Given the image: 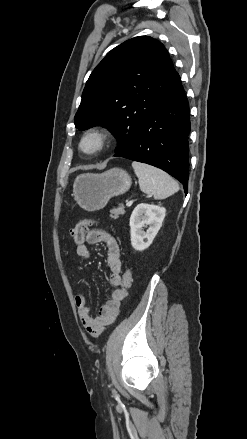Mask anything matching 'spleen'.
<instances>
[{"instance_id": "3e777b00", "label": "spleen", "mask_w": 247, "mask_h": 439, "mask_svg": "<svg viewBox=\"0 0 247 439\" xmlns=\"http://www.w3.org/2000/svg\"><path fill=\"white\" fill-rule=\"evenodd\" d=\"M132 167L141 191L152 194L154 199H165L178 192V183L161 169L136 161L132 163Z\"/></svg>"}]
</instances>
